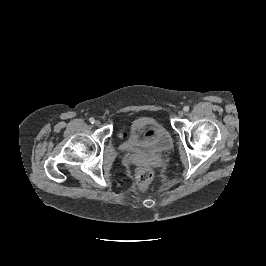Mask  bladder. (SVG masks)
Here are the masks:
<instances>
[{"instance_id":"bladder-1","label":"bladder","mask_w":266,"mask_h":266,"mask_svg":"<svg viewBox=\"0 0 266 266\" xmlns=\"http://www.w3.org/2000/svg\"><path fill=\"white\" fill-rule=\"evenodd\" d=\"M139 133H145L143 140L139 138ZM123 146L125 152L130 154L165 153L172 149L173 139L165 128L152 120L136 119Z\"/></svg>"}]
</instances>
